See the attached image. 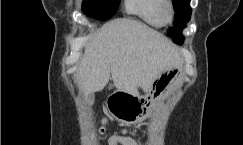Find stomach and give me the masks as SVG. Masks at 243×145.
Returning a JSON list of instances; mask_svg holds the SVG:
<instances>
[{
  "mask_svg": "<svg viewBox=\"0 0 243 145\" xmlns=\"http://www.w3.org/2000/svg\"><path fill=\"white\" fill-rule=\"evenodd\" d=\"M167 70L159 75L158 81L153 84L154 87H167L169 77L164 76L169 74L170 70ZM177 75L178 73L176 77ZM159 92V88H154L151 93L152 95L148 94L147 97H138L137 95L119 90L111 94L108 106L119 121L124 123H137L143 119L144 113L152 111L146 108V106H155V102H168V97H163Z\"/></svg>",
  "mask_w": 243,
  "mask_h": 145,
  "instance_id": "stomach-1",
  "label": "stomach"
}]
</instances>
